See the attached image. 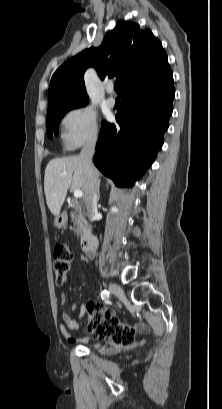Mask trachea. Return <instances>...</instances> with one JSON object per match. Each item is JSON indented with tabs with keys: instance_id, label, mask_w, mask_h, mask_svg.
<instances>
[{
	"instance_id": "trachea-1",
	"label": "trachea",
	"mask_w": 222,
	"mask_h": 409,
	"mask_svg": "<svg viewBox=\"0 0 222 409\" xmlns=\"http://www.w3.org/2000/svg\"><path fill=\"white\" fill-rule=\"evenodd\" d=\"M117 87H118V84H115V89H117Z\"/></svg>"
}]
</instances>
